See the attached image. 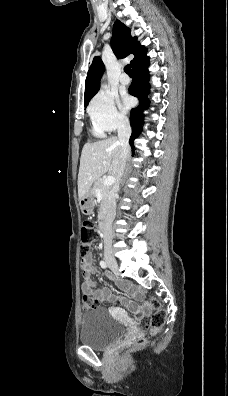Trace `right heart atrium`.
Returning a JSON list of instances; mask_svg holds the SVG:
<instances>
[{
  "label": "right heart atrium",
  "mask_w": 228,
  "mask_h": 396,
  "mask_svg": "<svg viewBox=\"0 0 228 396\" xmlns=\"http://www.w3.org/2000/svg\"><path fill=\"white\" fill-rule=\"evenodd\" d=\"M88 113L93 125L103 132L115 131L127 123L126 116L117 108L115 96L106 91L92 98Z\"/></svg>",
  "instance_id": "1"
}]
</instances>
